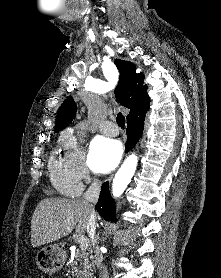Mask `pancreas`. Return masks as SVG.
Returning a JSON list of instances; mask_svg holds the SVG:
<instances>
[{
    "label": "pancreas",
    "instance_id": "obj_1",
    "mask_svg": "<svg viewBox=\"0 0 221 278\" xmlns=\"http://www.w3.org/2000/svg\"><path fill=\"white\" fill-rule=\"evenodd\" d=\"M82 268H77L78 261ZM69 265L72 267L73 276L76 278H92L94 265L89 262L88 253L85 251L77 250L76 253L71 257Z\"/></svg>",
    "mask_w": 221,
    "mask_h": 278
}]
</instances>
